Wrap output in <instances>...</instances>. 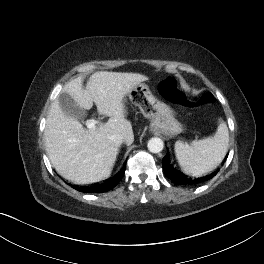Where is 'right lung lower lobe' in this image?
<instances>
[{
  "label": "right lung lower lobe",
  "mask_w": 264,
  "mask_h": 264,
  "mask_svg": "<svg viewBox=\"0 0 264 264\" xmlns=\"http://www.w3.org/2000/svg\"><path fill=\"white\" fill-rule=\"evenodd\" d=\"M125 172V166L115 177H112L108 179V181L98 184L92 187H84V188H77L78 191L84 192V193H90V192H107L110 189L114 188L122 179Z\"/></svg>",
  "instance_id": "98d812e1"
}]
</instances>
